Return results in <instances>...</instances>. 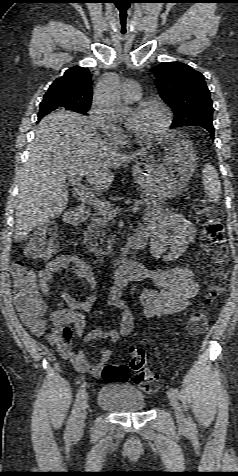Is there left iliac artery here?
<instances>
[{
	"label": "left iliac artery",
	"instance_id": "left-iliac-artery-1",
	"mask_svg": "<svg viewBox=\"0 0 238 476\" xmlns=\"http://www.w3.org/2000/svg\"><path fill=\"white\" fill-rule=\"evenodd\" d=\"M170 391L176 398H181L180 393L176 388H171ZM188 425L192 431H196V425L191 417H188Z\"/></svg>",
	"mask_w": 238,
	"mask_h": 476
}]
</instances>
